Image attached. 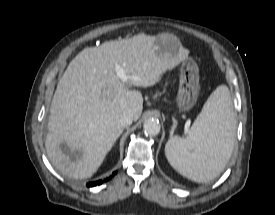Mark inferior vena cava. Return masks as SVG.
Returning a JSON list of instances; mask_svg holds the SVG:
<instances>
[{
	"mask_svg": "<svg viewBox=\"0 0 275 215\" xmlns=\"http://www.w3.org/2000/svg\"><path fill=\"white\" fill-rule=\"evenodd\" d=\"M133 115L131 112H124L117 120V125L120 127H126L132 124Z\"/></svg>",
	"mask_w": 275,
	"mask_h": 215,
	"instance_id": "inferior-vena-cava-1",
	"label": "inferior vena cava"
}]
</instances>
